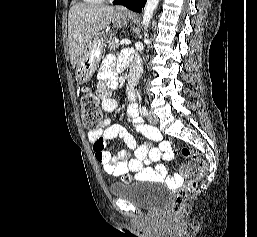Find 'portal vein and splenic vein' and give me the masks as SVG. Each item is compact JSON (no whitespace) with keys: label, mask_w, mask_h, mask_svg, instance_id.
I'll use <instances>...</instances> for the list:
<instances>
[{"label":"portal vein and splenic vein","mask_w":257,"mask_h":237,"mask_svg":"<svg viewBox=\"0 0 257 237\" xmlns=\"http://www.w3.org/2000/svg\"><path fill=\"white\" fill-rule=\"evenodd\" d=\"M120 44H121V45H124V44L129 45V44H131V42H130L129 40H127V39H124V40H122V41L120 42Z\"/></svg>","instance_id":"obj_1"}]
</instances>
